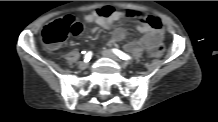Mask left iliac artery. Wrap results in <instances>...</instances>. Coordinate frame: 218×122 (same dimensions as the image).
<instances>
[{"mask_svg":"<svg viewBox=\"0 0 218 122\" xmlns=\"http://www.w3.org/2000/svg\"><path fill=\"white\" fill-rule=\"evenodd\" d=\"M112 50H113V52H114L119 58H121L122 60L128 61V60H131V59H132L129 55H127L126 53L122 52V51L119 50V49L114 48V49H112Z\"/></svg>","mask_w":218,"mask_h":122,"instance_id":"44dca946","label":"left iliac artery"}]
</instances>
